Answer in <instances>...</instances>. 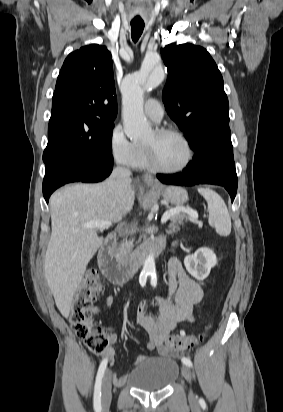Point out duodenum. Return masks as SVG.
<instances>
[{
	"label": "duodenum",
	"instance_id": "duodenum-1",
	"mask_svg": "<svg viewBox=\"0 0 283 412\" xmlns=\"http://www.w3.org/2000/svg\"><path fill=\"white\" fill-rule=\"evenodd\" d=\"M115 244L116 234L110 233L99 250L98 264L103 275L118 285L131 281L148 257L160 253L165 248L163 239H155L144 244L133 257L120 262L116 257Z\"/></svg>",
	"mask_w": 283,
	"mask_h": 412
}]
</instances>
